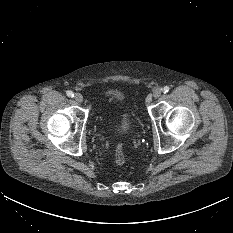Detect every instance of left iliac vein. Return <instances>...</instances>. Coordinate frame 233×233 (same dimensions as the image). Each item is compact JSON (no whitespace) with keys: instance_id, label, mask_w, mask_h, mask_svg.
<instances>
[{"instance_id":"1","label":"left iliac vein","mask_w":233,"mask_h":233,"mask_svg":"<svg viewBox=\"0 0 233 233\" xmlns=\"http://www.w3.org/2000/svg\"><path fill=\"white\" fill-rule=\"evenodd\" d=\"M161 94H162L161 89H156V90L153 92V97L157 99V98H159V97L161 96Z\"/></svg>"}]
</instances>
